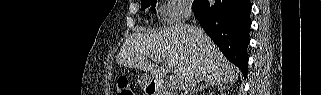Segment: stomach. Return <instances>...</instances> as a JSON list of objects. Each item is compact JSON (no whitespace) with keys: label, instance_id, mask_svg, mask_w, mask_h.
Wrapping results in <instances>:
<instances>
[{"label":"stomach","instance_id":"1","mask_svg":"<svg viewBox=\"0 0 321 95\" xmlns=\"http://www.w3.org/2000/svg\"><path fill=\"white\" fill-rule=\"evenodd\" d=\"M138 83L140 84L142 89H145L149 86L150 80L147 76L139 75L138 76Z\"/></svg>","mask_w":321,"mask_h":95}]
</instances>
